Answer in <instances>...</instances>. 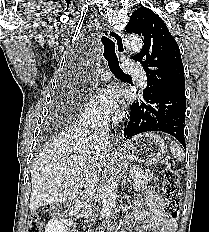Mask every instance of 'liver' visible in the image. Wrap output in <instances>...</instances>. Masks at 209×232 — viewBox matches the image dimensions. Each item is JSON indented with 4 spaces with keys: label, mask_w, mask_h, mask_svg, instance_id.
I'll use <instances>...</instances> for the list:
<instances>
[{
    "label": "liver",
    "mask_w": 209,
    "mask_h": 232,
    "mask_svg": "<svg viewBox=\"0 0 209 232\" xmlns=\"http://www.w3.org/2000/svg\"><path fill=\"white\" fill-rule=\"evenodd\" d=\"M108 152L107 141L98 143L81 127L72 126L60 133L32 165L30 210L75 199L91 165L98 162L102 167Z\"/></svg>",
    "instance_id": "liver-1"
}]
</instances>
